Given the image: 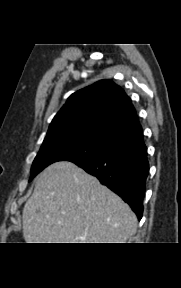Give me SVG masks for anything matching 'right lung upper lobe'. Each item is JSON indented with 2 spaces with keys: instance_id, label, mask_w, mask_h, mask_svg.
<instances>
[{
  "instance_id": "cb5924a9",
  "label": "right lung upper lobe",
  "mask_w": 181,
  "mask_h": 288,
  "mask_svg": "<svg viewBox=\"0 0 181 288\" xmlns=\"http://www.w3.org/2000/svg\"><path fill=\"white\" fill-rule=\"evenodd\" d=\"M72 137L87 139L107 151L144 143L130 98L109 80L73 93L53 118L44 140Z\"/></svg>"
}]
</instances>
